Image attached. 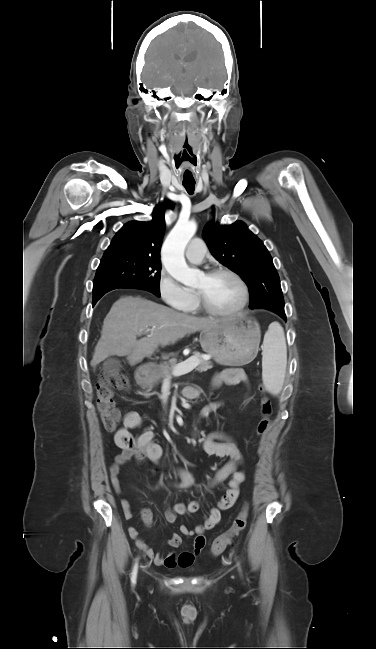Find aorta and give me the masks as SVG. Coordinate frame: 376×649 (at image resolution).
<instances>
[{"instance_id": "aorta-1", "label": "aorta", "mask_w": 376, "mask_h": 649, "mask_svg": "<svg viewBox=\"0 0 376 649\" xmlns=\"http://www.w3.org/2000/svg\"><path fill=\"white\" fill-rule=\"evenodd\" d=\"M197 229L195 221L178 220L162 248V262L168 273L186 285L197 280L200 271L191 269L184 258L185 247Z\"/></svg>"}]
</instances>
